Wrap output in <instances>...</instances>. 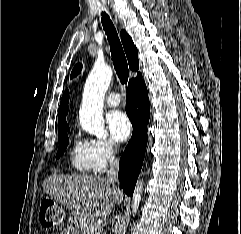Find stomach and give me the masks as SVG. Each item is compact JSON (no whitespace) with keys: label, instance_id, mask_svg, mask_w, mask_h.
Here are the masks:
<instances>
[{"label":"stomach","instance_id":"1","mask_svg":"<svg viewBox=\"0 0 241 234\" xmlns=\"http://www.w3.org/2000/svg\"><path fill=\"white\" fill-rule=\"evenodd\" d=\"M87 222L88 219L85 215L74 212L69 219V228L79 232L80 229L83 228V225H85Z\"/></svg>","mask_w":241,"mask_h":234}]
</instances>
